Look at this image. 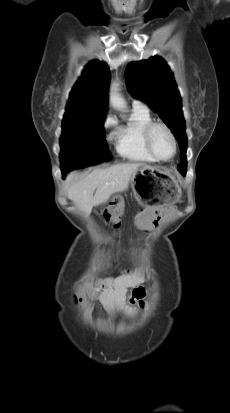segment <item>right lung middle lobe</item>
<instances>
[{
  "mask_svg": "<svg viewBox=\"0 0 230 413\" xmlns=\"http://www.w3.org/2000/svg\"><path fill=\"white\" fill-rule=\"evenodd\" d=\"M104 120L62 123L60 160L64 173L112 158L104 138Z\"/></svg>",
  "mask_w": 230,
  "mask_h": 413,
  "instance_id": "obj_1",
  "label": "right lung middle lobe"
}]
</instances>
